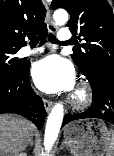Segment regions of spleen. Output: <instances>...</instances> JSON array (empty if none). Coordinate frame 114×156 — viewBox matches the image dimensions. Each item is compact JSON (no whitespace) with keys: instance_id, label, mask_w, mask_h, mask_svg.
<instances>
[{"instance_id":"spleen-1","label":"spleen","mask_w":114,"mask_h":156,"mask_svg":"<svg viewBox=\"0 0 114 156\" xmlns=\"http://www.w3.org/2000/svg\"><path fill=\"white\" fill-rule=\"evenodd\" d=\"M112 132V136H113V142L112 145L108 148L107 152H106V156H114V131L111 130Z\"/></svg>"}]
</instances>
